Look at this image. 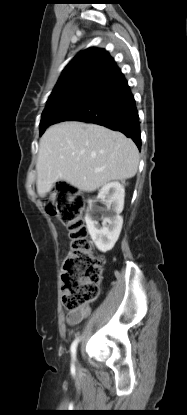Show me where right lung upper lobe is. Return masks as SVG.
Instances as JSON below:
<instances>
[{
  "label": "right lung upper lobe",
  "instance_id": "cb5924a9",
  "mask_svg": "<svg viewBox=\"0 0 187 415\" xmlns=\"http://www.w3.org/2000/svg\"><path fill=\"white\" fill-rule=\"evenodd\" d=\"M112 61L113 58L104 49L92 47L78 53L63 70L45 109L62 100L78 81Z\"/></svg>",
  "mask_w": 187,
  "mask_h": 415
}]
</instances>
